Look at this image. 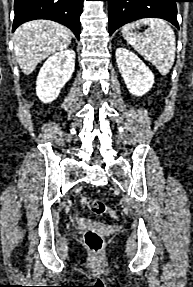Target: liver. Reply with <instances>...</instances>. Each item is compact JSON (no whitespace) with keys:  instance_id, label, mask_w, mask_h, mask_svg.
Returning a JSON list of instances; mask_svg holds the SVG:
<instances>
[{"instance_id":"liver-1","label":"liver","mask_w":193,"mask_h":287,"mask_svg":"<svg viewBox=\"0 0 193 287\" xmlns=\"http://www.w3.org/2000/svg\"><path fill=\"white\" fill-rule=\"evenodd\" d=\"M71 39L72 32L67 27L49 20H34L18 27L13 42L22 72L32 73L42 60L65 49Z\"/></svg>"}]
</instances>
